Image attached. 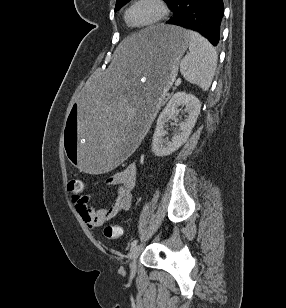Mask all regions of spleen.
I'll list each match as a JSON object with an SVG mask.
<instances>
[{
    "label": "spleen",
    "mask_w": 286,
    "mask_h": 308,
    "mask_svg": "<svg viewBox=\"0 0 286 308\" xmlns=\"http://www.w3.org/2000/svg\"><path fill=\"white\" fill-rule=\"evenodd\" d=\"M187 34L190 37L189 52L181 60L180 71L187 81L206 91L211 85L216 70V50L199 33L188 30Z\"/></svg>",
    "instance_id": "3e777b00"
}]
</instances>
